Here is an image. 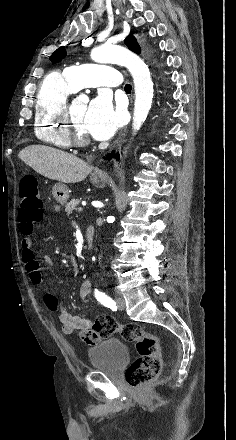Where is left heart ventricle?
Segmentation results:
<instances>
[{"label":"left heart ventricle","instance_id":"obj_1","mask_svg":"<svg viewBox=\"0 0 236 440\" xmlns=\"http://www.w3.org/2000/svg\"><path fill=\"white\" fill-rule=\"evenodd\" d=\"M72 114L77 129L84 135H88L85 127L84 118L87 109V104L83 101L76 100L72 102Z\"/></svg>","mask_w":236,"mask_h":440}]
</instances>
